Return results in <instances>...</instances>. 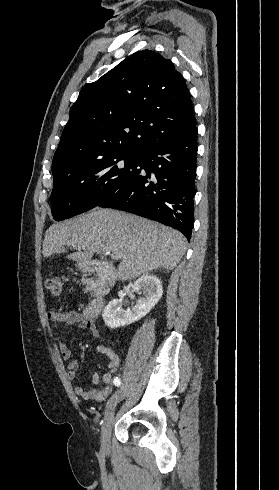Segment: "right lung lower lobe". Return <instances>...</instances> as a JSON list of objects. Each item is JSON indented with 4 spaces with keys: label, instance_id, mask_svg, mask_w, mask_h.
I'll return each mask as SVG.
<instances>
[{
    "label": "right lung lower lobe",
    "instance_id": "obj_1",
    "mask_svg": "<svg viewBox=\"0 0 279 490\" xmlns=\"http://www.w3.org/2000/svg\"><path fill=\"white\" fill-rule=\"evenodd\" d=\"M197 135L196 127L145 153L140 160V168L144 171L98 206L158 221L179 230L190 241L194 221ZM151 173L154 174L152 177Z\"/></svg>",
    "mask_w": 279,
    "mask_h": 490
}]
</instances>
